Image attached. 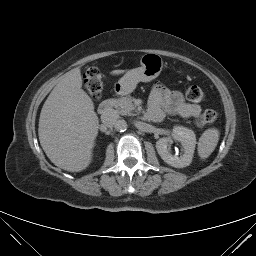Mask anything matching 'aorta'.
Returning a JSON list of instances; mask_svg holds the SVG:
<instances>
[{
  "instance_id": "aorta-1",
  "label": "aorta",
  "mask_w": 256,
  "mask_h": 256,
  "mask_svg": "<svg viewBox=\"0 0 256 256\" xmlns=\"http://www.w3.org/2000/svg\"><path fill=\"white\" fill-rule=\"evenodd\" d=\"M127 122L125 120H119L115 126L118 131H124L127 129Z\"/></svg>"
}]
</instances>
